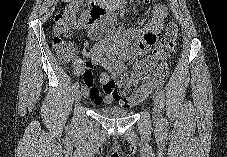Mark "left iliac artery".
I'll return each mask as SVG.
<instances>
[{
	"label": "left iliac artery",
	"mask_w": 227,
	"mask_h": 157,
	"mask_svg": "<svg viewBox=\"0 0 227 157\" xmlns=\"http://www.w3.org/2000/svg\"><path fill=\"white\" fill-rule=\"evenodd\" d=\"M156 94H157V97H158V99H159V101L161 103V108H164L165 96H164L162 90L161 89H157Z\"/></svg>",
	"instance_id": "obj_1"
}]
</instances>
